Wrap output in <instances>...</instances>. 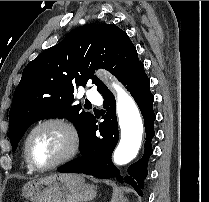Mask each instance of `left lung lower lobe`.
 <instances>
[{
    "instance_id": "left-lung-lower-lobe-1",
    "label": "left lung lower lobe",
    "mask_w": 209,
    "mask_h": 202,
    "mask_svg": "<svg viewBox=\"0 0 209 202\" xmlns=\"http://www.w3.org/2000/svg\"><path fill=\"white\" fill-rule=\"evenodd\" d=\"M126 89L130 91L135 102L138 104L144 118L146 131L145 150L142 158L128 168L130 176L120 175L112 160V152L119 139L118 124L116 118L115 98L107 90L103 95V107L106 114L104 121L96 125L94 117L85 135L80 139L79 150L81 157L60 167L59 172L83 173L93 175L101 179L115 178L121 183H128L134 187L139 195L144 187V179L148 175L147 165L152 154L151 140L155 135L154 120L156 118L153 111L154 97L150 92V80L148 79L143 63L132 69L121 81ZM99 130L100 136L96 135Z\"/></svg>"
}]
</instances>
